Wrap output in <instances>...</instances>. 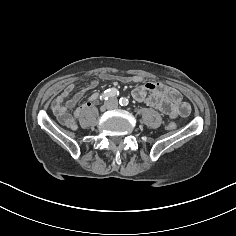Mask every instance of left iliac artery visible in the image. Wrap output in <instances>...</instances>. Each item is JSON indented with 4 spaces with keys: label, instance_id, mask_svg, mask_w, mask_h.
<instances>
[{
    "label": "left iliac artery",
    "instance_id": "obj_1",
    "mask_svg": "<svg viewBox=\"0 0 236 236\" xmlns=\"http://www.w3.org/2000/svg\"><path fill=\"white\" fill-rule=\"evenodd\" d=\"M128 103H129V101H128V99L125 98V97H122V98H120V100H119V104H120L121 106H127Z\"/></svg>",
    "mask_w": 236,
    "mask_h": 236
}]
</instances>
